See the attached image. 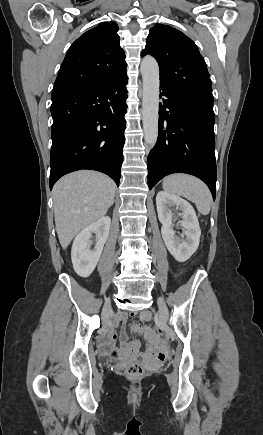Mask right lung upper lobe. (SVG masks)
<instances>
[{"label": "right lung upper lobe", "mask_w": 263, "mask_h": 435, "mask_svg": "<svg viewBox=\"0 0 263 435\" xmlns=\"http://www.w3.org/2000/svg\"><path fill=\"white\" fill-rule=\"evenodd\" d=\"M115 22L100 23L69 48L51 97L78 92L126 73L124 50Z\"/></svg>", "instance_id": "obj_1"}]
</instances>
